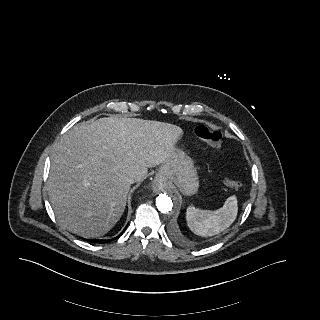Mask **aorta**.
Wrapping results in <instances>:
<instances>
[{"label":"aorta","instance_id":"1","mask_svg":"<svg viewBox=\"0 0 320 320\" xmlns=\"http://www.w3.org/2000/svg\"><path fill=\"white\" fill-rule=\"evenodd\" d=\"M175 208L174 198L170 193H164L157 196L155 209L159 215L169 214Z\"/></svg>","mask_w":320,"mask_h":320}]
</instances>
